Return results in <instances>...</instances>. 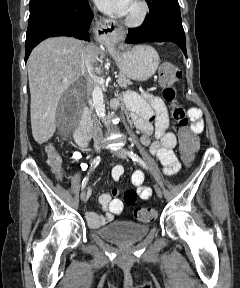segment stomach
<instances>
[{"mask_svg":"<svg viewBox=\"0 0 240 288\" xmlns=\"http://www.w3.org/2000/svg\"><path fill=\"white\" fill-rule=\"evenodd\" d=\"M121 73L135 81H145L156 72L160 58L148 45H138L129 50L110 48Z\"/></svg>","mask_w":240,"mask_h":288,"instance_id":"1","label":"stomach"}]
</instances>
